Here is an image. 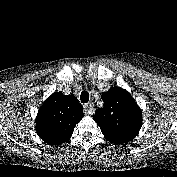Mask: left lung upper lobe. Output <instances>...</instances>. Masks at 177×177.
<instances>
[{
  "mask_svg": "<svg viewBox=\"0 0 177 177\" xmlns=\"http://www.w3.org/2000/svg\"><path fill=\"white\" fill-rule=\"evenodd\" d=\"M104 106L93 117L104 137L113 144L133 140L142 126V111L129 92L111 87L101 96Z\"/></svg>",
  "mask_w": 177,
  "mask_h": 177,
  "instance_id": "left-lung-upper-lobe-1",
  "label": "left lung upper lobe"
}]
</instances>
